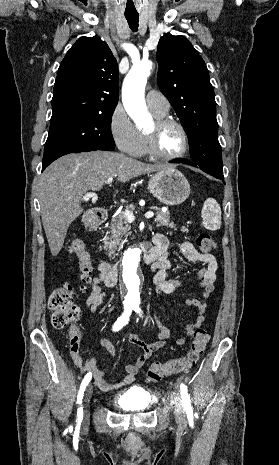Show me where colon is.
I'll use <instances>...</instances> for the list:
<instances>
[{"label": "colon", "mask_w": 279, "mask_h": 465, "mask_svg": "<svg viewBox=\"0 0 279 465\" xmlns=\"http://www.w3.org/2000/svg\"><path fill=\"white\" fill-rule=\"evenodd\" d=\"M196 243L202 253H210L215 248V241L208 233L199 234ZM69 250L79 259L78 283H65L54 289L49 297L48 306L52 312L51 323L56 329L70 327V348L72 353H77L80 336L74 324L80 319L81 311L75 304V297L79 292H84L86 285L91 281L92 265L90 253L81 239L74 238ZM209 339L210 334L206 330L196 329L188 353L181 358L151 364L147 371L148 380L159 382L169 375L188 371L204 354Z\"/></svg>", "instance_id": "colon-1"}]
</instances>
